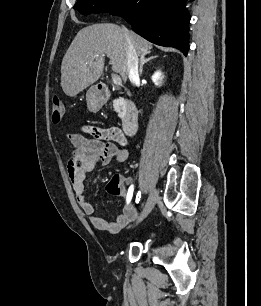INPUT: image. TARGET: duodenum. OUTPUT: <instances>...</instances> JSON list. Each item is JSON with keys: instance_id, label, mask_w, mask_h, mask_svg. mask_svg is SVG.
Returning a JSON list of instances; mask_svg holds the SVG:
<instances>
[{"instance_id": "obj_1", "label": "duodenum", "mask_w": 261, "mask_h": 306, "mask_svg": "<svg viewBox=\"0 0 261 306\" xmlns=\"http://www.w3.org/2000/svg\"><path fill=\"white\" fill-rule=\"evenodd\" d=\"M97 96L101 100H107L110 97V90L107 85L100 84L97 87ZM139 121V111L131 101L125 102V111L122 119V129L126 135H132L136 132Z\"/></svg>"}]
</instances>
